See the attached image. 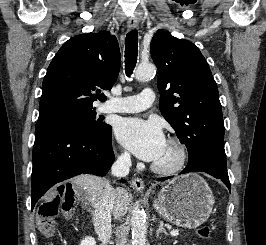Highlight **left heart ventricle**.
Listing matches in <instances>:
<instances>
[{
    "label": "left heart ventricle",
    "instance_id": "obj_1",
    "mask_svg": "<svg viewBox=\"0 0 266 245\" xmlns=\"http://www.w3.org/2000/svg\"><path fill=\"white\" fill-rule=\"evenodd\" d=\"M178 157V148L174 144L166 142L163 150L154 163L163 168H170L177 163Z\"/></svg>",
    "mask_w": 266,
    "mask_h": 245
}]
</instances>
